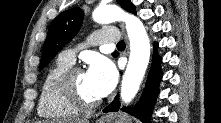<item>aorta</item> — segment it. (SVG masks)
Listing matches in <instances>:
<instances>
[{
    "instance_id": "aorta-1",
    "label": "aorta",
    "mask_w": 221,
    "mask_h": 123,
    "mask_svg": "<svg viewBox=\"0 0 221 123\" xmlns=\"http://www.w3.org/2000/svg\"><path fill=\"white\" fill-rule=\"evenodd\" d=\"M93 19L100 24L122 21L130 41V56L121 84V99L130 103L137 94L150 58V41L143 23L136 16L115 5L100 6L93 12Z\"/></svg>"
}]
</instances>
